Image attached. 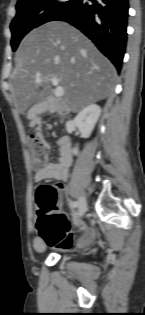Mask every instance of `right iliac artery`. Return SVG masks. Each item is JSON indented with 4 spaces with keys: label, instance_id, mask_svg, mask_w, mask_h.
Returning <instances> with one entry per match:
<instances>
[{
    "label": "right iliac artery",
    "instance_id": "82829eb1",
    "mask_svg": "<svg viewBox=\"0 0 145 315\" xmlns=\"http://www.w3.org/2000/svg\"><path fill=\"white\" fill-rule=\"evenodd\" d=\"M77 207H78V202L77 201H73L71 203V209L74 211Z\"/></svg>",
    "mask_w": 145,
    "mask_h": 315
}]
</instances>
